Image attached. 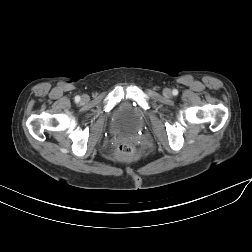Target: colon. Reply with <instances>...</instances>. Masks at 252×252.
I'll use <instances>...</instances> for the list:
<instances>
[{
  "label": "colon",
  "mask_w": 252,
  "mask_h": 252,
  "mask_svg": "<svg viewBox=\"0 0 252 252\" xmlns=\"http://www.w3.org/2000/svg\"><path fill=\"white\" fill-rule=\"evenodd\" d=\"M137 148L135 144L129 141L121 142L116 148V155L124 160H132L137 157Z\"/></svg>",
  "instance_id": "1"
}]
</instances>
